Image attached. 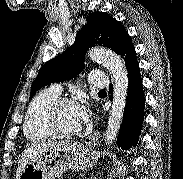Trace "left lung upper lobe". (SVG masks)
Masks as SVG:
<instances>
[{"mask_svg":"<svg viewBox=\"0 0 183 179\" xmlns=\"http://www.w3.org/2000/svg\"><path fill=\"white\" fill-rule=\"evenodd\" d=\"M126 32L120 22L107 13L90 14L87 17V24L78 32L74 44L41 67L31 85L30 97L43 86L70 80L81 73L84 69L86 51L90 47L101 45L116 52Z\"/></svg>","mask_w":183,"mask_h":179,"instance_id":"1","label":"left lung upper lobe"}]
</instances>
